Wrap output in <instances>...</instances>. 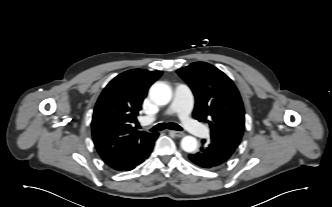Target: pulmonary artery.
I'll return each mask as SVG.
<instances>
[{
	"label": "pulmonary artery",
	"instance_id": "obj_1",
	"mask_svg": "<svg viewBox=\"0 0 332 207\" xmlns=\"http://www.w3.org/2000/svg\"><path fill=\"white\" fill-rule=\"evenodd\" d=\"M193 106L194 97L189 87L185 84H177L174 90V99L164 114H176L180 118L185 129L191 134L206 137L209 134L208 127L198 123L190 117ZM156 118V116L147 117L146 122L150 123L156 120Z\"/></svg>",
	"mask_w": 332,
	"mask_h": 207
}]
</instances>
